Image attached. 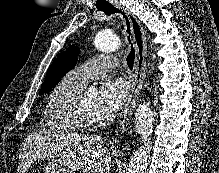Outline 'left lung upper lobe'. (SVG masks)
Returning <instances> with one entry per match:
<instances>
[{"instance_id": "5c2ea615", "label": "left lung upper lobe", "mask_w": 219, "mask_h": 173, "mask_svg": "<svg viewBox=\"0 0 219 173\" xmlns=\"http://www.w3.org/2000/svg\"><path fill=\"white\" fill-rule=\"evenodd\" d=\"M79 47L72 45L60 53L50 65L45 81L40 89L39 95L51 90L67 72L74 68L77 61Z\"/></svg>"}]
</instances>
